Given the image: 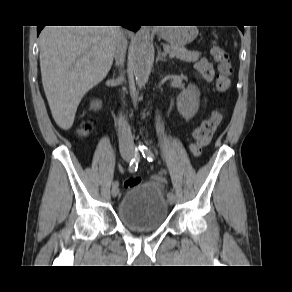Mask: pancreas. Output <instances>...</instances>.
<instances>
[{
    "label": "pancreas",
    "instance_id": "pancreas-1",
    "mask_svg": "<svg viewBox=\"0 0 292 292\" xmlns=\"http://www.w3.org/2000/svg\"><path fill=\"white\" fill-rule=\"evenodd\" d=\"M164 48L173 54L178 59L186 62H196L200 58V53L197 51H188L184 47L177 45H164Z\"/></svg>",
    "mask_w": 292,
    "mask_h": 292
}]
</instances>
